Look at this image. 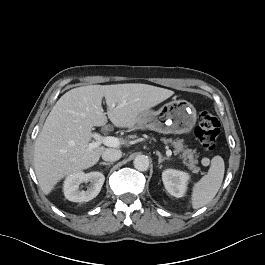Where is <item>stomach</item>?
I'll list each match as a JSON object with an SVG mask.
<instances>
[{"mask_svg":"<svg viewBox=\"0 0 265 265\" xmlns=\"http://www.w3.org/2000/svg\"><path fill=\"white\" fill-rule=\"evenodd\" d=\"M136 128H148L163 134L189 133L196 123V109L186 100H172L159 110L139 115Z\"/></svg>","mask_w":265,"mask_h":265,"instance_id":"1","label":"stomach"}]
</instances>
